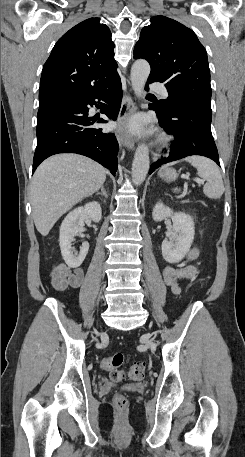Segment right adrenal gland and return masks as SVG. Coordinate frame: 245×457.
I'll use <instances>...</instances> for the list:
<instances>
[{
	"label": "right adrenal gland",
	"mask_w": 245,
	"mask_h": 457,
	"mask_svg": "<svg viewBox=\"0 0 245 457\" xmlns=\"http://www.w3.org/2000/svg\"><path fill=\"white\" fill-rule=\"evenodd\" d=\"M96 194H104L105 198H108V194L104 188V186H101V192H96ZM106 202V200H104Z\"/></svg>",
	"instance_id": "right-adrenal-gland-1"
}]
</instances>
